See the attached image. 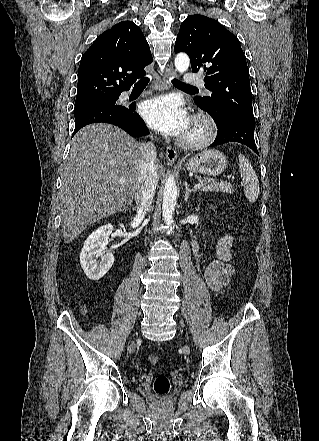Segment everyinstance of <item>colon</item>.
I'll list each match as a JSON object with an SVG mask.
<instances>
[{
  "label": "colon",
  "instance_id": "1",
  "mask_svg": "<svg viewBox=\"0 0 319 441\" xmlns=\"http://www.w3.org/2000/svg\"><path fill=\"white\" fill-rule=\"evenodd\" d=\"M148 361L151 365H157L160 363L161 358L158 355H150ZM153 389L157 395H166L170 390L169 379L165 375L157 376L153 384Z\"/></svg>",
  "mask_w": 319,
  "mask_h": 441
}]
</instances>
